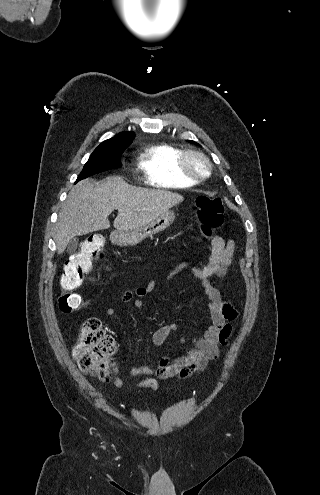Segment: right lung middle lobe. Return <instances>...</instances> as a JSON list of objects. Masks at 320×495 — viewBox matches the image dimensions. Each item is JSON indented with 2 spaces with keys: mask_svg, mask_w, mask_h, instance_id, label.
Returning <instances> with one entry per match:
<instances>
[{
  "mask_svg": "<svg viewBox=\"0 0 320 495\" xmlns=\"http://www.w3.org/2000/svg\"><path fill=\"white\" fill-rule=\"evenodd\" d=\"M126 148H101L97 147L84 165L76 182L91 175L121 167L120 157ZM75 182V183H76Z\"/></svg>",
  "mask_w": 320,
  "mask_h": 495,
  "instance_id": "1",
  "label": "right lung middle lobe"
}]
</instances>
